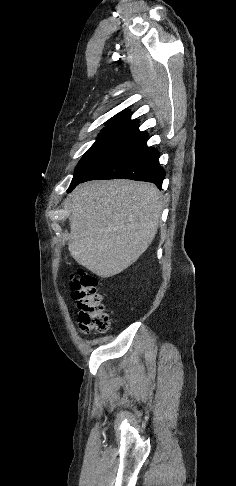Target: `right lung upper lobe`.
Wrapping results in <instances>:
<instances>
[{
    "instance_id": "1",
    "label": "right lung upper lobe",
    "mask_w": 236,
    "mask_h": 486,
    "mask_svg": "<svg viewBox=\"0 0 236 486\" xmlns=\"http://www.w3.org/2000/svg\"><path fill=\"white\" fill-rule=\"evenodd\" d=\"M131 112L128 110H124L111 119H109L106 123V127H118V126H138V121H134L130 119Z\"/></svg>"
}]
</instances>
